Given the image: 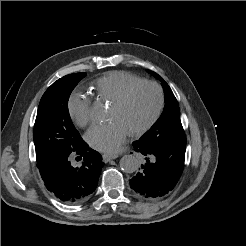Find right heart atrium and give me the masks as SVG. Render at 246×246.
Listing matches in <instances>:
<instances>
[{"instance_id": "obj_1", "label": "right heart atrium", "mask_w": 246, "mask_h": 246, "mask_svg": "<svg viewBox=\"0 0 246 246\" xmlns=\"http://www.w3.org/2000/svg\"><path fill=\"white\" fill-rule=\"evenodd\" d=\"M68 112L72 121L84 127L91 121V100L82 91H74L68 99Z\"/></svg>"}]
</instances>
